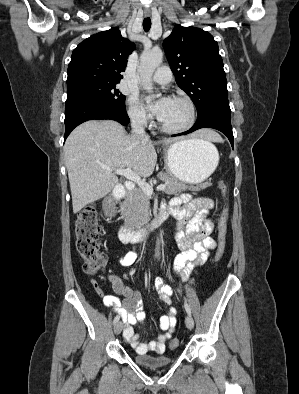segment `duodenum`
Instances as JSON below:
<instances>
[{
	"label": "duodenum",
	"mask_w": 299,
	"mask_h": 394,
	"mask_svg": "<svg viewBox=\"0 0 299 394\" xmlns=\"http://www.w3.org/2000/svg\"><path fill=\"white\" fill-rule=\"evenodd\" d=\"M134 184L129 182L126 184V191L131 192L134 190ZM124 196H110L105 200L104 210L106 214L110 215L114 211L115 201L122 200ZM123 209H121V213ZM168 217L166 209H161L156 217H154L146 226L140 228H132L126 223L122 224L119 229V237L122 242H136L143 240L154 228L164 222Z\"/></svg>",
	"instance_id": "obj_1"
}]
</instances>
